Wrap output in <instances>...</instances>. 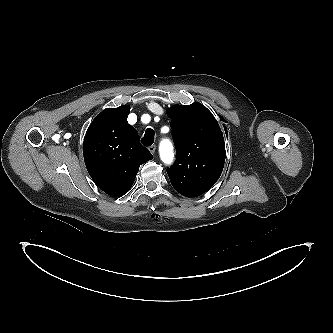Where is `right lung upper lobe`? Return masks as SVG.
Wrapping results in <instances>:
<instances>
[{
	"mask_svg": "<svg viewBox=\"0 0 333 333\" xmlns=\"http://www.w3.org/2000/svg\"><path fill=\"white\" fill-rule=\"evenodd\" d=\"M129 105L103 110L90 124L83 143L87 170L105 193L120 197L131 188L141 164L152 159L128 124Z\"/></svg>",
	"mask_w": 333,
	"mask_h": 333,
	"instance_id": "cb5924a9",
	"label": "right lung upper lobe"
}]
</instances>
